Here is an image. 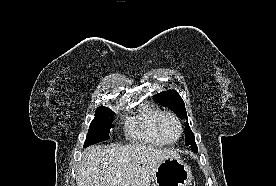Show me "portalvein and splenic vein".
<instances>
[{
  "label": "portal vein and splenic vein",
  "instance_id": "portal-vein-and-splenic-vein-1",
  "mask_svg": "<svg viewBox=\"0 0 276 186\" xmlns=\"http://www.w3.org/2000/svg\"><path fill=\"white\" fill-rule=\"evenodd\" d=\"M118 181H120V177H118Z\"/></svg>",
  "mask_w": 276,
  "mask_h": 186
}]
</instances>
